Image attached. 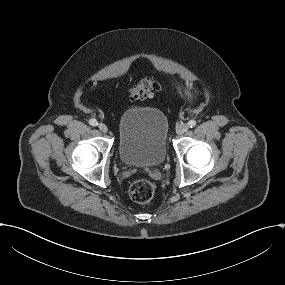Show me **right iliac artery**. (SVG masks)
<instances>
[{
	"label": "right iliac artery",
	"mask_w": 285,
	"mask_h": 285,
	"mask_svg": "<svg viewBox=\"0 0 285 285\" xmlns=\"http://www.w3.org/2000/svg\"><path fill=\"white\" fill-rule=\"evenodd\" d=\"M89 124H90L91 126H96V125H98V122H97L95 119H91V120L89 121Z\"/></svg>",
	"instance_id": "right-iliac-artery-1"
}]
</instances>
